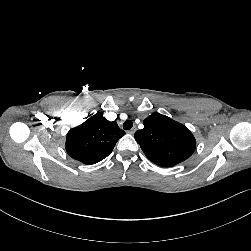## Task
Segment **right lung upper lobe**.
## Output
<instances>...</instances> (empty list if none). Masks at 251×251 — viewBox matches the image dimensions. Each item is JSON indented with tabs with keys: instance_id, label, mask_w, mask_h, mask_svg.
<instances>
[{
	"instance_id": "1",
	"label": "right lung upper lobe",
	"mask_w": 251,
	"mask_h": 251,
	"mask_svg": "<svg viewBox=\"0 0 251 251\" xmlns=\"http://www.w3.org/2000/svg\"><path fill=\"white\" fill-rule=\"evenodd\" d=\"M124 134L115 121L110 122L97 113L69 130L65 148L73 159L91 165L106 158Z\"/></svg>"
}]
</instances>
